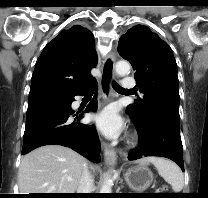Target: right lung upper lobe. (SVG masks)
I'll return each instance as SVG.
<instances>
[{
  "label": "right lung upper lobe",
  "mask_w": 208,
  "mask_h": 198,
  "mask_svg": "<svg viewBox=\"0 0 208 198\" xmlns=\"http://www.w3.org/2000/svg\"><path fill=\"white\" fill-rule=\"evenodd\" d=\"M97 63L90 30L80 25L62 30L36 62L28 107L72 97L95 79L90 70Z\"/></svg>",
  "instance_id": "1"
}]
</instances>
